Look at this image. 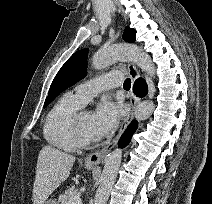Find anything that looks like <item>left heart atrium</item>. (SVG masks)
Masks as SVG:
<instances>
[{
	"mask_svg": "<svg viewBox=\"0 0 212 204\" xmlns=\"http://www.w3.org/2000/svg\"><path fill=\"white\" fill-rule=\"evenodd\" d=\"M121 110L110 100L100 102L93 114V135L101 139L111 134L118 126Z\"/></svg>",
	"mask_w": 212,
	"mask_h": 204,
	"instance_id": "left-heart-atrium-1",
	"label": "left heart atrium"
}]
</instances>
